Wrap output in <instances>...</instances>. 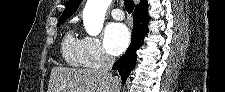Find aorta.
Wrapping results in <instances>:
<instances>
[{
  "instance_id": "aorta-1",
  "label": "aorta",
  "mask_w": 225,
  "mask_h": 92,
  "mask_svg": "<svg viewBox=\"0 0 225 92\" xmlns=\"http://www.w3.org/2000/svg\"><path fill=\"white\" fill-rule=\"evenodd\" d=\"M110 3L111 0H87L83 10V23L89 35L97 36L101 32Z\"/></svg>"
}]
</instances>
